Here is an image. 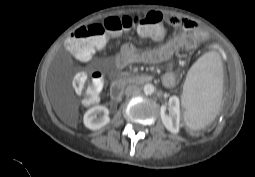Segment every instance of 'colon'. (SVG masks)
I'll use <instances>...</instances> for the list:
<instances>
[{
    "mask_svg": "<svg viewBox=\"0 0 255 177\" xmlns=\"http://www.w3.org/2000/svg\"><path fill=\"white\" fill-rule=\"evenodd\" d=\"M162 24L163 17L156 11L137 16L110 17L75 31L66 41V49L73 57L87 60L106 45L108 36H118L136 30L144 37L157 38L162 34ZM104 83L105 77L100 71L90 75L79 72L73 80L75 91L88 103L96 102Z\"/></svg>",
    "mask_w": 255,
    "mask_h": 177,
    "instance_id": "obj_1",
    "label": "colon"
}]
</instances>
